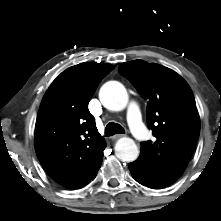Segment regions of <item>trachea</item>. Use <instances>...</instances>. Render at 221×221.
I'll use <instances>...</instances> for the list:
<instances>
[{"label": "trachea", "mask_w": 221, "mask_h": 221, "mask_svg": "<svg viewBox=\"0 0 221 221\" xmlns=\"http://www.w3.org/2000/svg\"><path fill=\"white\" fill-rule=\"evenodd\" d=\"M125 133L124 128L117 124V123H108L106 128H105V136L109 137V136H113L115 134H122Z\"/></svg>", "instance_id": "obj_1"}]
</instances>
